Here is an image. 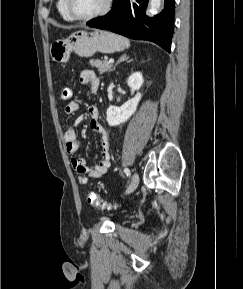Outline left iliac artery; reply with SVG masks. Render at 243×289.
<instances>
[{
	"label": "left iliac artery",
	"instance_id": "left-iliac-artery-1",
	"mask_svg": "<svg viewBox=\"0 0 243 289\" xmlns=\"http://www.w3.org/2000/svg\"><path fill=\"white\" fill-rule=\"evenodd\" d=\"M124 173H125L128 177L131 176V172H130L129 168H125V169H124Z\"/></svg>",
	"mask_w": 243,
	"mask_h": 289
}]
</instances>
